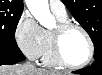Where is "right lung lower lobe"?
<instances>
[{
    "label": "right lung lower lobe",
    "instance_id": "1",
    "mask_svg": "<svg viewBox=\"0 0 102 75\" xmlns=\"http://www.w3.org/2000/svg\"><path fill=\"white\" fill-rule=\"evenodd\" d=\"M24 59L18 46L0 45V65L16 64Z\"/></svg>",
    "mask_w": 102,
    "mask_h": 75
}]
</instances>
